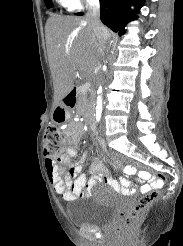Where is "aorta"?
<instances>
[{
    "instance_id": "obj_1",
    "label": "aorta",
    "mask_w": 183,
    "mask_h": 246,
    "mask_svg": "<svg viewBox=\"0 0 183 246\" xmlns=\"http://www.w3.org/2000/svg\"><path fill=\"white\" fill-rule=\"evenodd\" d=\"M98 97H97V106L96 108L97 109H102V96H101V93H102V87L100 86L98 91Z\"/></svg>"
}]
</instances>
